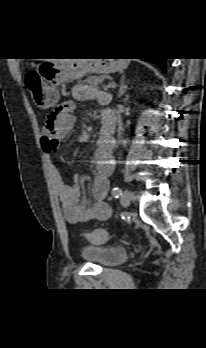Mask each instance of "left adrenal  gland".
<instances>
[{"label":"left adrenal gland","instance_id":"left-adrenal-gland-1","mask_svg":"<svg viewBox=\"0 0 206 348\" xmlns=\"http://www.w3.org/2000/svg\"><path fill=\"white\" fill-rule=\"evenodd\" d=\"M127 89V84L125 83V75H122L120 79V87H119V93L118 98L121 97Z\"/></svg>","mask_w":206,"mask_h":348}]
</instances>
